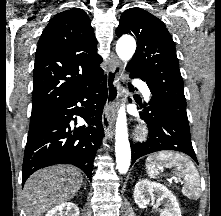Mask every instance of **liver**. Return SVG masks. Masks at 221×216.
Listing matches in <instances>:
<instances>
[{
	"mask_svg": "<svg viewBox=\"0 0 221 216\" xmlns=\"http://www.w3.org/2000/svg\"><path fill=\"white\" fill-rule=\"evenodd\" d=\"M82 174L70 165H54L32 174L24 185L26 216H42L70 201L80 190Z\"/></svg>",
	"mask_w": 221,
	"mask_h": 216,
	"instance_id": "6515ba94",
	"label": "liver"
}]
</instances>
